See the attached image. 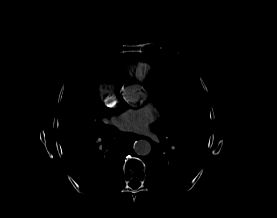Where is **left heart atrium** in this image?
<instances>
[{
	"label": "left heart atrium",
	"mask_w": 277,
	"mask_h": 218,
	"mask_svg": "<svg viewBox=\"0 0 277 218\" xmlns=\"http://www.w3.org/2000/svg\"><path fill=\"white\" fill-rule=\"evenodd\" d=\"M137 110L138 109H132L131 111L132 112H137ZM141 113H137V114H139V116L140 117H138L139 119L138 120H142V116H144V115H148L149 114V109H146L145 111H140ZM130 117V115L129 114H126V115H124V119H128ZM139 122H141V121H139Z\"/></svg>",
	"instance_id": "left-heart-atrium-1"
}]
</instances>
